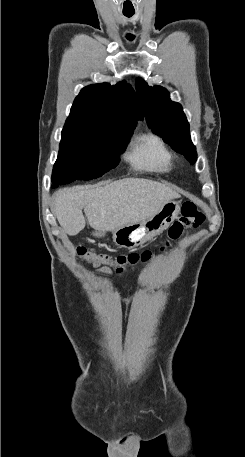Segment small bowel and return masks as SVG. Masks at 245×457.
Returning a JSON list of instances; mask_svg holds the SVG:
<instances>
[{"instance_id": "c3829d8e", "label": "small bowel", "mask_w": 245, "mask_h": 457, "mask_svg": "<svg viewBox=\"0 0 245 457\" xmlns=\"http://www.w3.org/2000/svg\"><path fill=\"white\" fill-rule=\"evenodd\" d=\"M101 272L106 273V274H111V271L107 268L102 269Z\"/></svg>"}]
</instances>
